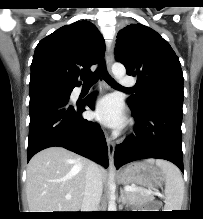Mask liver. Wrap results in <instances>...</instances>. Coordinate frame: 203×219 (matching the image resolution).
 <instances>
[{
    "instance_id": "liver-1",
    "label": "liver",
    "mask_w": 203,
    "mask_h": 219,
    "mask_svg": "<svg viewBox=\"0 0 203 219\" xmlns=\"http://www.w3.org/2000/svg\"><path fill=\"white\" fill-rule=\"evenodd\" d=\"M89 163L62 147H50L37 153L27 166L26 194L30 212H78ZM98 168L103 183L106 171L101 166ZM66 195L71 199H66Z\"/></svg>"
}]
</instances>
